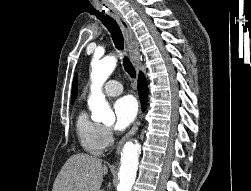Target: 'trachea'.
<instances>
[{
    "instance_id": "1",
    "label": "trachea",
    "mask_w": 251,
    "mask_h": 191,
    "mask_svg": "<svg viewBox=\"0 0 251 191\" xmlns=\"http://www.w3.org/2000/svg\"><path fill=\"white\" fill-rule=\"evenodd\" d=\"M97 18H99V20L103 23V25H105V27L110 32L115 47L123 53L124 38L116 20H114L112 16L110 17L109 15H104V14L97 15ZM123 66L125 71L131 78L136 77V71L134 69V66L132 65V63L130 62V60L126 55L123 56Z\"/></svg>"
}]
</instances>
